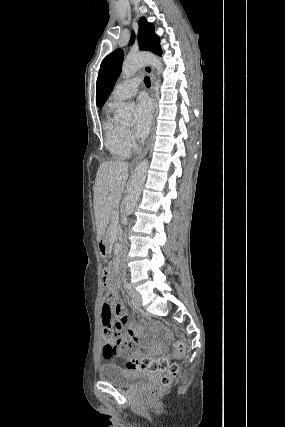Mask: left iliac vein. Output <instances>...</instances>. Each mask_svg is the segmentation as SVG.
I'll return each mask as SVG.
<instances>
[{"mask_svg": "<svg viewBox=\"0 0 285 427\" xmlns=\"http://www.w3.org/2000/svg\"><path fill=\"white\" fill-rule=\"evenodd\" d=\"M130 296H131V300H132L133 305H135L137 307L141 306L142 298H141V295L137 291L130 290Z\"/></svg>", "mask_w": 285, "mask_h": 427, "instance_id": "obj_1", "label": "left iliac vein"}]
</instances>
